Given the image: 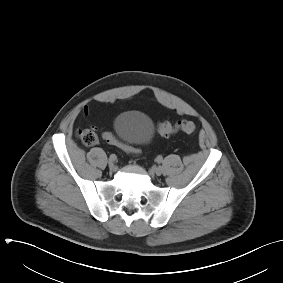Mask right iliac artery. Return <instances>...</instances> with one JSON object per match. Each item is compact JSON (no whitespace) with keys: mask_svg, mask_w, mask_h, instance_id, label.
<instances>
[{"mask_svg":"<svg viewBox=\"0 0 283 283\" xmlns=\"http://www.w3.org/2000/svg\"><path fill=\"white\" fill-rule=\"evenodd\" d=\"M117 159L116 155L115 154H111L110 157H109V160L111 161H115Z\"/></svg>","mask_w":283,"mask_h":283,"instance_id":"right-iliac-artery-1","label":"right iliac artery"}]
</instances>
